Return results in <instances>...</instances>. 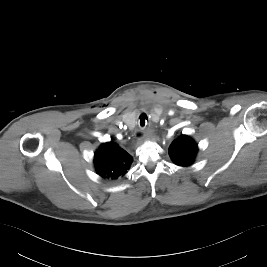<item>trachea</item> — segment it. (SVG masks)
Segmentation results:
<instances>
[{
    "label": "trachea",
    "mask_w": 267,
    "mask_h": 267,
    "mask_svg": "<svg viewBox=\"0 0 267 267\" xmlns=\"http://www.w3.org/2000/svg\"><path fill=\"white\" fill-rule=\"evenodd\" d=\"M146 121L148 122V117L145 113H141L139 116V124L141 127H144L146 124ZM140 135V134H138Z\"/></svg>",
    "instance_id": "trachea-1"
}]
</instances>
